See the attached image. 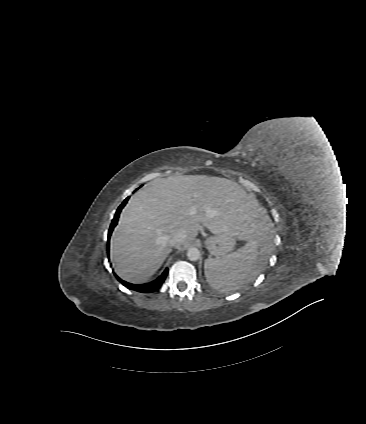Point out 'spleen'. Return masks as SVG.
<instances>
[{
	"instance_id": "1",
	"label": "spleen",
	"mask_w": 366,
	"mask_h": 424,
	"mask_svg": "<svg viewBox=\"0 0 366 424\" xmlns=\"http://www.w3.org/2000/svg\"><path fill=\"white\" fill-rule=\"evenodd\" d=\"M259 242L255 239L222 258H209L205 261V277L209 285L221 292L242 288L256 275L255 267L259 260Z\"/></svg>"
}]
</instances>
